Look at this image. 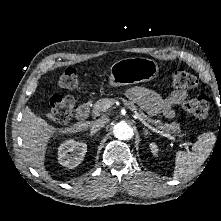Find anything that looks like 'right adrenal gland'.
<instances>
[{
    "instance_id": "2a0ac1e0",
    "label": "right adrenal gland",
    "mask_w": 221,
    "mask_h": 221,
    "mask_svg": "<svg viewBox=\"0 0 221 221\" xmlns=\"http://www.w3.org/2000/svg\"><path fill=\"white\" fill-rule=\"evenodd\" d=\"M89 137H93L94 136V133H90L88 134Z\"/></svg>"
}]
</instances>
